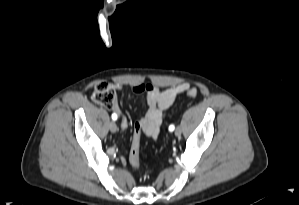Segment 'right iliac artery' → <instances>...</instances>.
<instances>
[{"mask_svg":"<svg viewBox=\"0 0 299 205\" xmlns=\"http://www.w3.org/2000/svg\"><path fill=\"white\" fill-rule=\"evenodd\" d=\"M112 119L116 120L117 119V115L115 113L112 114Z\"/></svg>","mask_w":299,"mask_h":205,"instance_id":"right-iliac-artery-1","label":"right iliac artery"}]
</instances>
